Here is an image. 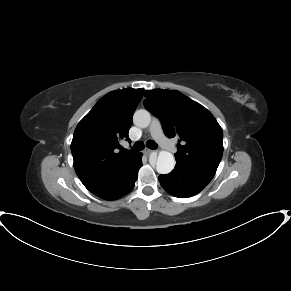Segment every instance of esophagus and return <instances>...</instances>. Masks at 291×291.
I'll return each instance as SVG.
<instances>
[{
	"label": "esophagus",
	"mask_w": 291,
	"mask_h": 291,
	"mask_svg": "<svg viewBox=\"0 0 291 291\" xmlns=\"http://www.w3.org/2000/svg\"><path fill=\"white\" fill-rule=\"evenodd\" d=\"M152 152H153V150H151V149H149V148H145L144 151H143V153H144L145 155H149V154L152 153Z\"/></svg>",
	"instance_id": "esophagus-1"
}]
</instances>
